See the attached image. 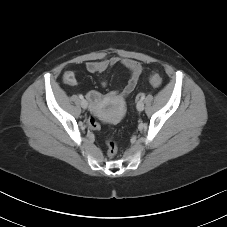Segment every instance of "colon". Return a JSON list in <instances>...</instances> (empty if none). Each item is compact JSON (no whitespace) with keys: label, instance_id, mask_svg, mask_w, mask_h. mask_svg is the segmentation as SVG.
I'll use <instances>...</instances> for the list:
<instances>
[{"label":"colon","instance_id":"colon-1","mask_svg":"<svg viewBox=\"0 0 227 227\" xmlns=\"http://www.w3.org/2000/svg\"><path fill=\"white\" fill-rule=\"evenodd\" d=\"M150 83L154 87H160L162 84V79L157 73H153L150 76ZM89 128L94 132H99L101 129L100 122L94 116H91L88 120ZM107 153L110 158H113L117 154V145L113 140L107 141Z\"/></svg>","mask_w":227,"mask_h":227}]
</instances>
